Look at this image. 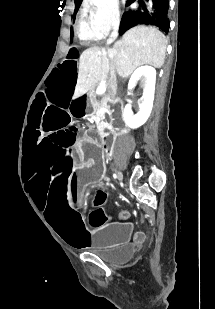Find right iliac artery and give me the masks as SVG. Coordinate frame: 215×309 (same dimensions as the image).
I'll return each mask as SVG.
<instances>
[{
    "instance_id": "82829eb1",
    "label": "right iliac artery",
    "mask_w": 215,
    "mask_h": 309,
    "mask_svg": "<svg viewBox=\"0 0 215 309\" xmlns=\"http://www.w3.org/2000/svg\"><path fill=\"white\" fill-rule=\"evenodd\" d=\"M114 178H117L116 174L113 175Z\"/></svg>"
}]
</instances>
